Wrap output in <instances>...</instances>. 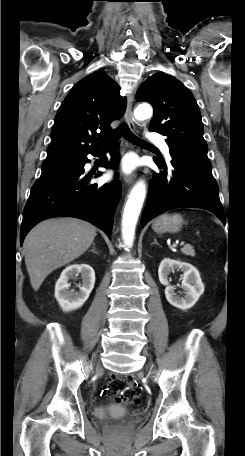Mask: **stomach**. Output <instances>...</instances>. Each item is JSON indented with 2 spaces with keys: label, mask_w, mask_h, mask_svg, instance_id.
Here are the masks:
<instances>
[{
  "label": "stomach",
  "mask_w": 245,
  "mask_h": 456,
  "mask_svg": "<svg viewBox=\"0 0 245 456\" xmlns=\"http://www.w3.org/2000/svg\"><path fill=\"white\" fill-rule=\"evenodd\" d=\"M184 223L180 214H164L158 217L152 224V228L157 233L178 232Z\"/></svg>",
  "instance_id": "1"
}]
</instances>
